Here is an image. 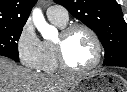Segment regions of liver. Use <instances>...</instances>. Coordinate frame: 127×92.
I'll use <instances>...</instances> for the list:
<instances>
[{
    "instance_id": "liver-1",
    "label": "liver",
    "mask_w": 127,
    "mask_h": 92,
    "mask_svg": "<svg viewBox=\"0 0 127 92\" xmlns=\"http://www.w3.org/2000/svg\"><path fill=\"white\" fill-rule=\"evenodd\" d=\"M80 79L39 74L0 57V92H69Z\"/></svg>"
}]
</instances>
